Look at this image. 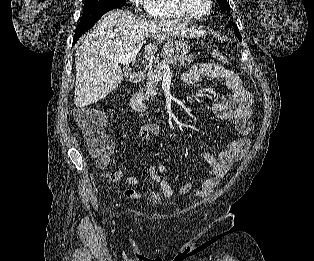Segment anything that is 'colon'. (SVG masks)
<instances>
[{"label":"colon","mask_w":314,"mask_h":261,"mask_svg":"<svg viewBox=\"0 0 314 261\" xmlns=\"http://www.w3.org/2000/svg\"><path fill=\"white\" fill-rule=\"evenodd\" d=\"M213 56L220 62L231 64V58L222 50H214ZM74 120L82 132L89 152L96 157L106 154L110 150V142L101 131L104 115L91 107H78L74 110Z\"/></svg>","instance_id":"colon-1"}]
</instances>
